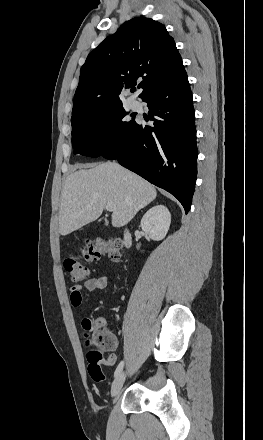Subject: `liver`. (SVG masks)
Listing matches in <instances>:
<instances>
[{
    "instance_id": "obj_1",
    "label": "liver",
    "mask_w": 263,
    "mask_h": 440,
    "mask_svg": "<svg viewBox=\"0 0 263 440\" xmlns=\"http://www.w3.org/2000/svg\"><path fill=\"white\" fill-rule=\"evenodd\" d=\"M157 196L155 187L116 162L81 165L67 176L59 209V232L65 236L98 219L113 203V227L128 224Z\"/></svg>"
}]
</instances>
